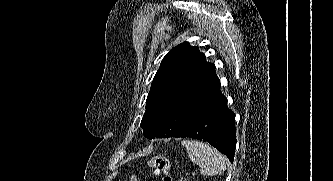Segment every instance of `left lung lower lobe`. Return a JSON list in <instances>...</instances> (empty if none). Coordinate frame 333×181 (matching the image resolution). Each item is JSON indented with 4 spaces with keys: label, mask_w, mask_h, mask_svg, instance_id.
Instances as JSON below:
<instances>
[{
    "label": "left lung lower lobe",
    "mask_w": 333,
    "mask_h": 181,
    "mask_svg": "<svg viewBox=\"0 0 333 181\" xmlns=\"http://www.w3.org/2000/svg\"><path fill=\"white\" fill-rule=\"evenodd\" d=\"M234 123L235 114L228 108L227 98L220 91L219 84L207 104L172 137H188L208 142L233 162L236 147Z\"/></svg>",
    "instance_id": "obj_1"
}]
</instances>
